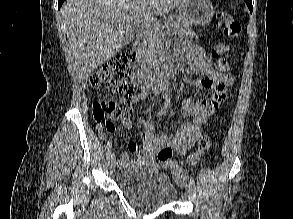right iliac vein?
<instances>
[{
    "label": "right iliac vein",
    "mask_w": 293,
    "mask_h": 219,
    "mask_svg": "<svg viewBox=\"0 0 293 219\" xmlns=\"http://www.w3.org/2000/svg\"><path fill=\"white\" fill-rule=\"evenodd\" d=\"M116 166V159L115 157H110L109 159V168L112 170L114 169Z\"/></svg>",
    "instance_id": "1"
}]
</instances>
